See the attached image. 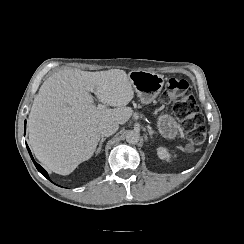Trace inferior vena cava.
Returning <instances> with one entry per match:
<instances>
[{"instance_id": "1", "label": "inferior vena cava", "mask_w": 244, "mask_h": 244, "mask_svg": "<svg viewBox=\"0 0 244 244\" xmlns=\"http://www.w3.org/2000/svg\"><path fill=\"white\" fill-rule=\"evenodd\" d=\"M119 128V124L117 122H107L99 127L100 133L102 136H110L114 134Z\"/></svg>"}]
</instances>
